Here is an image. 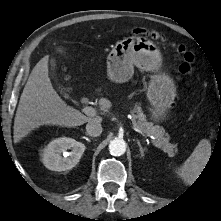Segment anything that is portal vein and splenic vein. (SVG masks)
Segmentation results:
<instances>
[{"instance_id": "portal-vein-and-splenic-vein-1", "label": "portal vein and splenic vein", "mask_w": 221, "mask_h": 221, "mask_svg": "<svg viewBox=\"0 0 221 221\" xmlns=\"http://www.w3.org/2000/svg\"><path fill=\"white\" fill-rule=\"evenodd\" d=\"M83 112L86 115L91 116V117L96 116V110L93 107H91V106L84 107ZM152 143H153L154 146L159 147V145H158L156 140H152Z\"/></svg>"}]
</instances>
